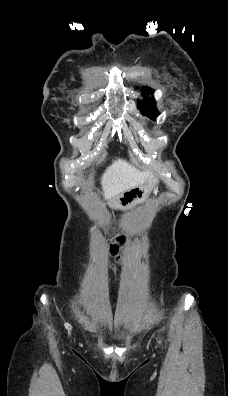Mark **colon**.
I'll return each instance as SVG.
<instances>
[{"mask_svg":"<svg viewBox=\"0 0 228 396\" xmlns=\"http://www.w3.org/2000/svg\"><path fill=\"white\" fill-rule=\"evenodd\" d=\"M113 232H116L115 230ZM127 246V238L124 234H117L114 243L111 245V252L118 254L120 251L125 249Z\"/></svg>","mask_w":228,"mask_h":396,"instance_id":"obj_1","label":"colon"}]
</instances>
